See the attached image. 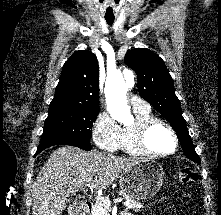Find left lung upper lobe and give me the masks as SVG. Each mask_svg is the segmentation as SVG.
I'll return each mask as SVG.
<instances>
[{"instance_id": "5c2ea615", "label": "left lung upper lobe", "mask_w": 221, "mask_h": 215, "mask_svg": "<svg viewBox=\"0 0 221 215\" xmlns=\"http://www.w3.org/2000/svg\"><path fill=\"white\" fill-rule=\"evenodd\" d=\"M124 61L137 74L140 96L169 121L185 155L200 163L182 116L180 102L174 93L172 78L162 58L149 49L135 48L126 53Z\"/></svg>"}]
</instances>
